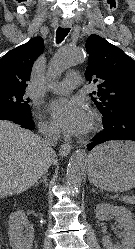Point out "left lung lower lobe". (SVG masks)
<instances>
[{
	"instance_id": "0a47b994",
	"label": "left lung lower lobe",
	"mask_w": 135,
	"mask_h": 249,
	"mask_svg": "<svg viewBox=\"0 0 135 249\" xmlns=\"http://www.w3.org/2000/svg\"><path fill=\"white\" fill-rule=\"evenodd\" d=\"M104 130L87 145L88 150L110 140L135 141V107H121L103 118Z\"/></svg>"
}]
</instances>
